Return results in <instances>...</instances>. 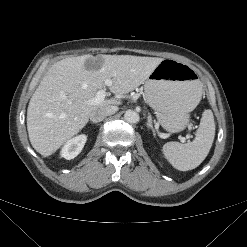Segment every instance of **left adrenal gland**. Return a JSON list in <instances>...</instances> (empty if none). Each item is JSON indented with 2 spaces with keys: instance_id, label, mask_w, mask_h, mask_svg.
Segmentation results:
<instances>
[{
  "instance_id": "a2214340",
  "label": "left adrenal gland",
  "mask_w": 247,
  "mask_h": 247,
  "mask_svg": "<svg viewBox=\"0 0 247 247\" xmlns=\"http://www.w3.org/2000/svg\"><path fill=\"white\" fill-rule=\"evenodd\" d=\"M147 127H148V129H151V130H152L153 135L155 136L156 134H155V130H154L153 125H152V117H151L150 114H148V123H147Z\"/></svg>"
}]
</instances>
